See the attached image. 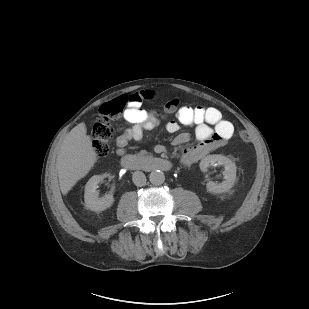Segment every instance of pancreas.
I'll return each instance as SVG.
<instances>
[{"mask_svg": "<svg viewBox=\"0 0 309 309\" xmlns=\"http://www.w3.org/2000/svg\"><path fill=\"white\" fill-rule=\"evenodd\" d=\"M148 152L146 150H141L137 155H134L133 158L136 160H142L147 156Z\"/></svg>", "mask_w": 309, "mask_h": 309, "instance_id": "cf45deb5", "label": "pancreas"}]
</instances>
